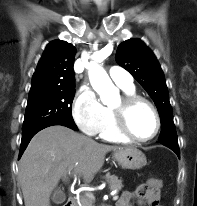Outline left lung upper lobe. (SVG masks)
Returning <instances> with one entry per match:
<instances>
[{"label": "left lung upper lobe", "mask_w": 197, "mask_h": 206, "mask_svg": "<svg viewBox=\"0 0 197 206\" xmlns=\"http://www.w3.org/2000/svg\"><path fill=\"white\" fill-rule=\"evenodd\" d=\"M116 61L153 99L161 119L158 142H178L164 73L153 52L143 41L131 39L118 46Z\"/></svg>", "instance_id": "5c2ea615"}]
</instances>
